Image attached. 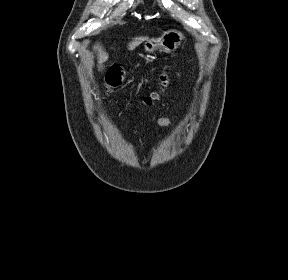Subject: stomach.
Wrapping results in <instances>:
<instances>
[{"label": "stomach", "mask_w": 288, "mask_h": 280, "mask_svg": "<svg viewBox=\"0 0 288 280\" xmlns=\"http://www.w3.org/2000/svg\"><path fill=\"white\" fill-rule=\"evenodd\" d=\"M184 39V34L180 31L171 29L165 31L158 39H148L144 43L146 52L153 53L158 48L170 53L178 48Z\"/></svg>", "instance_id": "1"}]
</instances>
